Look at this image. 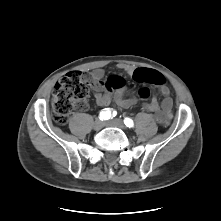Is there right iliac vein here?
<instances>
[{
    "label": "right iliac vein",
    "mask_w": 221,
    "mask_h": 221,
    "mask_svg": "<svg viewBox=\"0 0 221 221\" xmlns=\"http://www.w3.org/2000/svg\"><path fill=\"white\" fill-rule=\"evenodd\" d=\"M104 122L100 119H96L94 124H93V128L95 130H101L104 127Z\"/></svg>",
    "instance_id": "obj_1"
}]
</instances>
